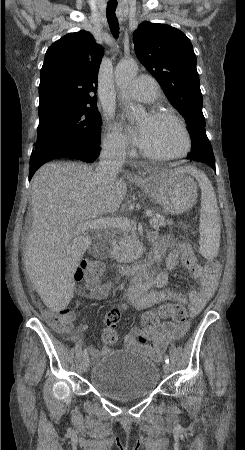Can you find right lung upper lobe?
<instances>
[{"instance_id":"1","label":"right lung upper lobe","mask_w":245,"mask_h":450,"mask_svg":"<svg viewBox=\"0 0 245 450\" xmlns=\"http://www.w3.org/2000/svg\"><path fill=\"white\" fill-rule=\"evenodd\" d=\"M102 56L101 46L85 31L67 34L52 44L41 69L39 109L56 103L96 105Z\"/></svg>"}]
</instances>
